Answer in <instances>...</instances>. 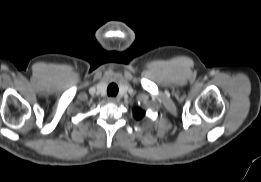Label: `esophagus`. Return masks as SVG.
<instances>
[{
	"mask_svg": "<svg viewBox=\"0 0 261 182\" xmlns=\"http://www.w3.org/2000/svg\"><path fill=\"white\" fill-rule=\"evenodd\" d=\"M108 102L110 103H116V98L115 97H109Z\"/></svg>",
	"mask_w": 261,
	"mask_h": 182,
	"instance_id": "1",
	"label": "esophagus"
}]
</instances>
